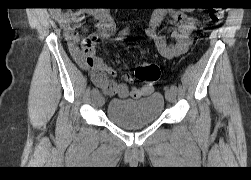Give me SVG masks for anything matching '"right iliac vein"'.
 Listing matches in <instances>:
<instances>
[{"label": "right iliac vein", "mask_w": 251, "mask_h": 180, "mask_svg": "<svg viewBox=\"0 0 251 180\" xmlns=\"http://www.w3.org/2000/svg\"><path fill=\"white\" fill-rule=\"evenodd\" d=\"M93 102L96 107H101L104 104V98L101 94L93 96Z\"/></svg>", "instance_id": "obj_1"}]
</instances>
